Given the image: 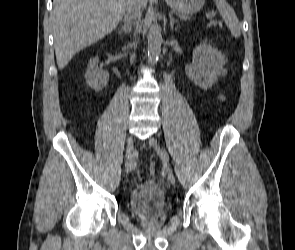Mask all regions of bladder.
I'll list each match as a JSON object with an SVG mask.
<instances>
[{"label": "bladder", "instance_id": "obj_1", "mask_svg": "<svg viewBox=\"0 0 295 250\" xmlns=\"http://www.w3.org/2000/svg\"><path fill=\"white\" fill-rule=\"evenodd\" d=\"M129 206L139 218L156 219L165 211L164 192L155 180L146 179L132 190Z\"/></svg>", "mask_w": 295, "mask_h": 250}]
</instances>
